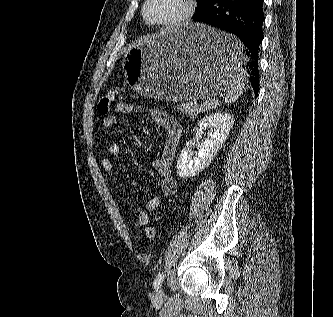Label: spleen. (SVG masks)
I'll list each match as a JSON object with an SVG mask.
<instances>
[{"mask_svg": "<svg viewBox=\"0 0 333 317\" xmlns=\"http://www.w3.org/2000/svg\"><path fill=\"white\" fill-rule=\"evenodd\" d=\"M224 35L227 34L224 33ZM225 44H227L232 48L233 50L232 60L235 63H237L239 57H242L240 41L236 37L230 36L228 40H225ZM243 59H245V57H243ZM246 75H247L246 71L242 67H240V65L235 64L232 83L228 88L225 97V102L232 103L236 101L243 94V90L245 89L244 82L246 80Z\"/></svg>", "mask_w": 333, "mask_h": 317, "instance_id": "3e777b00", "label": "spleen"}]
</instances>
